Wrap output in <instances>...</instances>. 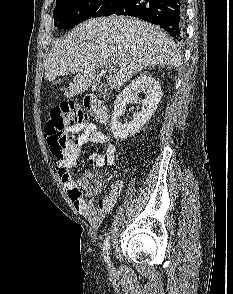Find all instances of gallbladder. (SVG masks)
Here are the masks:
<instances>
[{"mask_svg": "<svg viewBox=\"0 0 233 294\" xmlns=\"http://www.w3.org/2000/svg\"><path fill=\"white\" fill-rule=\"evenodd\" d=\"M100 93L102 94V95H104V94H106V91L105 90H100Z\"/></svg>", "mask_w": 233, "mask_h": 294, "instance_id": "1", "label": "gallbladder"}]
</instances>
